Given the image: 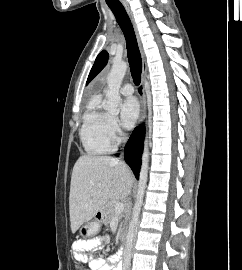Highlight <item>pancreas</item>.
Returning <instances> with one entry per match:
<instances>
[{
  "mask_svg": "<svg viewBox=\"0 0 242 270\" xmlns=\"http://www.w3.org/2000/svg\"><path fill=\"white\" fill-rule=\"evenodd\" d=\"M114 202L107 203L103 209L104 214H105V220L104 222L106 224L110 223V221L117 217L119 220L125 218L127 220V215L125 213L117 214L114 209Z\"/></svg>",
  "mask_w": 242,
  "mask_h": 270,
  "instance_id": "1",
  "label": "pancreas"
}]
</instances>
